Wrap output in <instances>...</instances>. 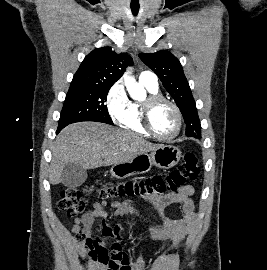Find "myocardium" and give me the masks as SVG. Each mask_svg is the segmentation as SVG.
<instances>
[{
  "label": "myocardium",
  "mask_w": 267,
  "mask_h": 270,
  "mask_svg": "<svg viewBox=\"0 0 267 270\" xmlns=\"http://www.w3.org/2000/svg\"><path fill=\"white\" fill-rule=\"evenodd\" d=\"M164 102L172 107L175 112L177 118V128L174 134L171 136L165 137L158 134L153 128L151 122V112L154 106L157 104ZM141 123L144 129L154 138L164 141V142H172L174 141L181 133L182 130V114L178 106L170 99L164 97L161 94H151L149 95L142 103H141Z\"/></svg>",
  "instance_id": "f54148a6"
}]
</instances>
